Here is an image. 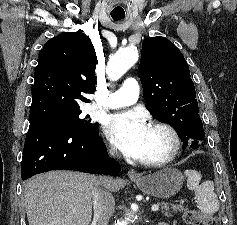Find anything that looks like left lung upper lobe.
Wrapping results in <instances>:
<instances>
[{"label": "left lung upper lobe", "instance_id": "5c2ea615", "mask_svg": "<svg viewBox=\"0 0 237 225\" xmlns=\"http://www.w3.org/2000/svg\"><path fill=\"white\" fill-rule=\"evenodd\" d=\"M138 75L146 108L155 119L170 124L179 134L199 116L188 64L168 39L158 36L143 41Z\"/></svg>", "mask_w": 237, "mask_h": 225}]
</instances>
